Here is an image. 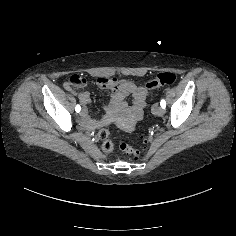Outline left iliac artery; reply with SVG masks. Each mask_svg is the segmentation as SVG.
<instances>
[{
    "mask_svg": "<svg viewBox=\"0 0 236 236\" xmlns=\"http://www.w3.org/2000/svg\"><path fill=\"white\" fill-rule=\"evenodd\" d=\"M160 105H161V107L163 108V109H165V107H166V102H165V100H161V102H160Z\"/></svg>",
    "mask_w": 236,
    "mask_h": 236,
    "instance_id": "left-iliac-artery-1",
    "label": "left iliac artery"
}]
</instances>
